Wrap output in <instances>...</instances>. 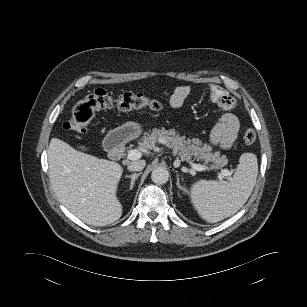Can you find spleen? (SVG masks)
<instances>
[{"label":"spleen","instance_id":"1","mask_svg":"<svg viewBox=\"0 0 307 307\" xmlns=\"http://www.w3.org/2000/svg\"><path fill=\"white\" fill-rule=\"evenodd\" d=\"M258 175L257 157L243 153L230 181L200 180L191 186L190 199L200 217L216 223L235 214L248 200Z\"/></svg>","mask_w":307,"mask_h":307}]
</instances>
